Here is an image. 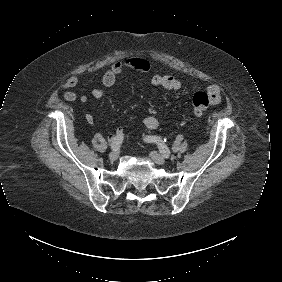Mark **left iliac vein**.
<instances>
[{
  "label": "left iliac vein",
  "instance_id": "4c4485c4",
  "mask_svg": "<svg viewBox=\"0 0 282 282\" xmlns=\"http://www.w3.org/2000/svg\"><path fill=\"white\" fill-rule=\"evenodd\" d=\"M150 157L155 163L159 165H163L165 163L164 157L161 154L157 153L156 151H151Z\"/></svg>",
  "mask_w": 282,
  "mask_h": 282
}]
</instances>
